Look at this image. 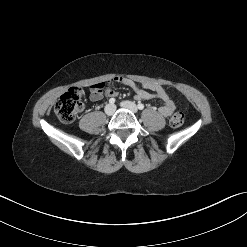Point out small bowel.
<instances>
[{"label":"small bowel","instance_id":"c3829d8e","mask_svg":"<svg viewBox=\"0 0 247 247\" xmlns=\"http://www.w3.org/2000/svg\"><path fill=\"white\" fill-rule=\"evenodd\" d=\"M114 83H118L132 88L135 91V99L138 101H146L153 98H157L162 102V106L159 108V113L164 117H169L175 109L173 100L168 95L167 89L164 86L155 83H145L137 85L132 79L126 77H115ZM147 90H151L152 93ZM118 93L109 85L105 91H91L90 98L92 101H99L104 96L116 97Z\"/></svg>","mask_w":247,"mask_h":247}]
</instances>
